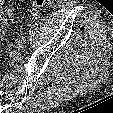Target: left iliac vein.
Masks as SVG:
<instances>
[{"label":"left iliac vein","mask_w":113,"mask_h":113,"mask_svg":"<svg viewBox=\"0 0 113 113\" xmlns=\"http://www.w3.org/2000/svg\"><path fill=\"white\" fill-rule=\"evenodd\" d=\"M17 50H22L24 48V43L22 41H18L15 45Z\"/></svg>","instance_id":"4c4485c4"}]
</instances>
